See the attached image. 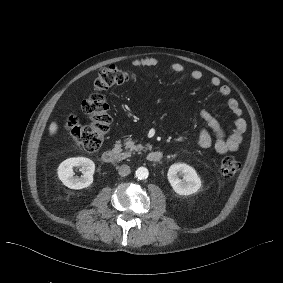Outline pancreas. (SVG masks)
Returning a JSON list of instances; mask_svg holds the SVG:
<instances>
[{"instance_id":"obj_1","label":"pancreas","mask_w":283,"mask_h":283,"mask_svg":"<svg viewBox=\"0 0 283 283\" xmlns=\"http://www.w3.org/2000/svg\"><path fill=\"white\" fill-rule=\"evenodd\" d=\"M148 147L149 145H146V147L142 146L141 144L135 145V143L131 139H128L126 141V149H130L131 152L136 151L140 153L141 150L147 151Z\"/></svg>"}]
</instances>
